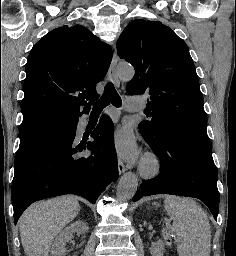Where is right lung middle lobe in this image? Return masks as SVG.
Returning a JSON list of instances; mask_svg holds the SVG:
<instances>
[{
  "mask_svg": "<svg viewBox=\"0 0 236 256\" xmlns=\"http://www.w3.org/2000/svg\"><path fill=\"white\" fill-rule=\"evenodd\" d=\"M78 119L64 118L53 113L40 114L23 120L20 129V146L27 145L52 132L71 128Z\"/></svg>",
  "mask_w": 236,
  "mask_h": 256,
  "instance_id": "right-lung-middle-lobe-1",
  "label": "right lung middle lobe"
}]
</instances>
